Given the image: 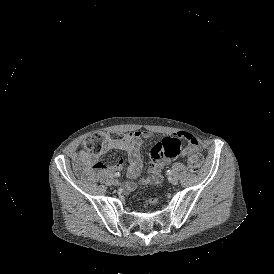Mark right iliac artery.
I'll return each mask as SVG.
<instances>
[{
	"label": "right iliac artery",
	"mask_w": 274,
	"mask_h": 274,
	"mask_svg": "<svg viewBox=\"0 0 274 274\" xmlns=\"http://www.w3.org/2000/svg\"><path fill=\"white\" fill-rule=\"evenodd\" d=\"M115 176H116V177H119V176H120V172H116V173H115Z\"/></svg>",
	"instance_id": "obj_1"
}]
</instances>
